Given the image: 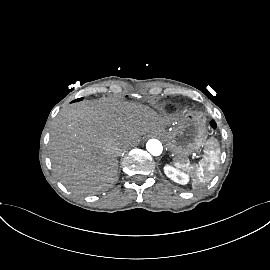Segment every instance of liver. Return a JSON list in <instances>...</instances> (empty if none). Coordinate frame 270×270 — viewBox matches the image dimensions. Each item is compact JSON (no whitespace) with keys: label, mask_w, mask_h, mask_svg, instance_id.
<instances>
[{"label":"liver","mask_w":270,"mask_h":270,"mask_svg":"<svg viewBox=\"0 0 270 270\" xmlns=\"http://www.w3.org/2000/svg\"><path fill=\"white\" fill-rule=\"evenodd\" d=\"M162 127L154 111L141 104L103 99L73 105L53 121V169L69 188L101 190L117 178L119 148Z\"/></svg>","instance_id":"obj_1"}]
</instances>
